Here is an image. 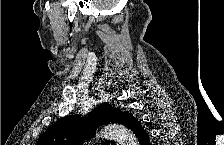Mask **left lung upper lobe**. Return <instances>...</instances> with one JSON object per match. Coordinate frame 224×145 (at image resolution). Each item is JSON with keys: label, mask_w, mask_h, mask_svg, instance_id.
<instances>
[{"label": "left lung upper lobe", "mask_w": 224, "mask_h": 145, "mask_svg": "<svg viewBox=\"0 0 224 145\" xmlns=\"http://www.w3.org/2000/svg\"><path fill=\"white\" fill-rule=\"evenodd\" d=\"M134 117L108 103L96 107L88 117L67 116L50 126L37 145H81L95 135L96 129L110 122L120 123L131 129ZM107 144H114L107 141Z\"/></svg>", "instance_id": "1"}]
</instances>
